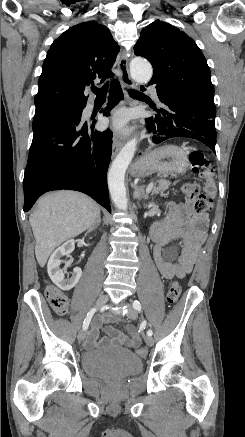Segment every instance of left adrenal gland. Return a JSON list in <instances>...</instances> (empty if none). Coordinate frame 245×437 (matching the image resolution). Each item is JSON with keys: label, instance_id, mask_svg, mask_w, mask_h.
<instances>
[{"label": "left adrenal gland", "instance_id": "obj_1", "mask_svg": "<svg viewBox=\"0 0 245 437\" xmlns=\"http://www.w3.org/2000/svg\"><path fill=\"white\" fill-rule=\"evenodd\" d=\"M132 188L134 189L133 191V198L137 199L138 201L144 199L147 200L148 199V195L145 194L144 189L136 186L135 184H132Z\"/></svg>", "mask_w": 245, "mask_h": 437}]
</instances>
